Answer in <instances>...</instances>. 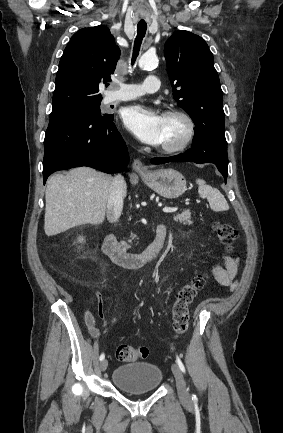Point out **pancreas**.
Here are the masks:
<instances>
[{
  "label": "pancreas",
  "instance_id": "1",
  "mask_svg": "<svg viewBox=\"0 0 283 433\" xmlns=\"http://www.w3.org/2000/svg\"><path fill=\"white\" fill-rule=\"evenodd\" d=\"M173 219L174 221H180V223H187V221H190L191 212L189 208H186V210H181L180 214H174Z\"/></svg>",
  "mask_w": 283,
  "mask_h": 433
}]
</instances>
